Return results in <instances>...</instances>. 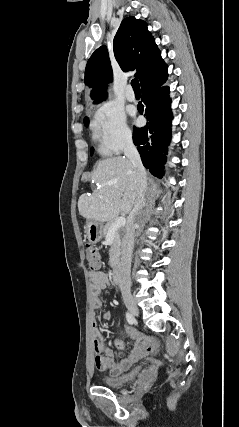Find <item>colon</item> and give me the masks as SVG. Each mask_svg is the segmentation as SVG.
Listing matches in <instances>:
<instances>
[{
	"mask_svg": "<svg viewBox=\"0 0 239 427\" xmlns=\"http://www.w3.org/2000/svg\"><path fill=\"white\" fill-rule=\"evenodd\" d=\"M86 261L91 270H98L101 267V257L94 245H86Z\"/></svg>",
	"mask_w": 239,
	"mask_h": 427,
	"instance_id": "5ec220e1",
	"label": "colon"
}]
</instances>
